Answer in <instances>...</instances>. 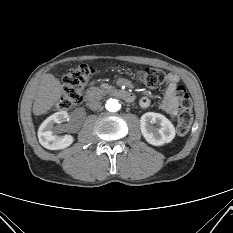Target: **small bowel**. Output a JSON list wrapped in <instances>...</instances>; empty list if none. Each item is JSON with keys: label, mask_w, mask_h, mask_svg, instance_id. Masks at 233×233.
I'll use <instances>...</instances> for the list:
<instances>
[{"label": "small bowel", "mask_w": 233, "mask_h": 233, "mask_svg": "<svg viewBox=\"0 0 233 233\" xmlns=\"http://www.w3.org/2000/svg\"><path fill=\"white\" fill-rule=\"evenodd\" d=\"M166 90L161 100L160 106L170 116L174 117L179 111V100L176 96V88L179 86V77L174 73H169L165 78ZM151 104V100L148 97H142L140 99V105L143 108L148 107Z\"/></svg>", "instance_id": "small-bowel-1"}]
</instances>
